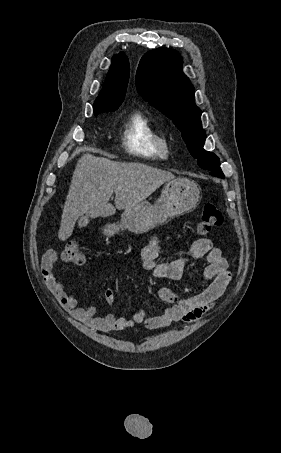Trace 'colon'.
<instances>
[{"label":"colon","mask_w":281,"mask_h":453,"mask_svg":"<svg viewBox=\"0 0 281 453\" xmlns=\"http://www.w3.org/2000/svg\"><path fill=\"white\" fill-rule=\"evenodd\" d=\"M225 218L223 213L218 209L213 201H207L202 204V214L198 223L200 234L205 235L214 228L224 224ZM64 261L84 262L86 260L85 252L79 247L76 239L68 238L64 243L62 251Z\"/></svg>","instance_id":"obj_1"}]
</instances>
